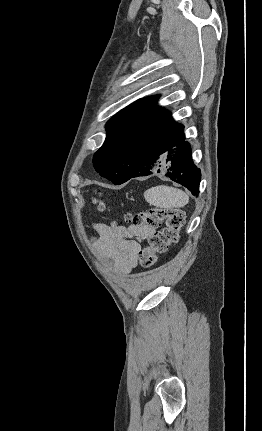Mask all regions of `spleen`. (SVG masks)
I'll list each match as a JSON object with an SVG mask.
<instances>
[{"label": "spleen", "mask_w": 262, "mask_h": 431, "mask_svg": "<svg viewBox=\"0 0 262 431\" xmlns=\"http://www.w3.org/2000/svg\"><path fill=\"white\" fill-rule=\"evenodd\" d=\"M144 197L150 205L160 208H181L189 202V196L184 191L165 185L146 190Z\"/></svg>", "instance_id": "obj_1"}]
</instances>
